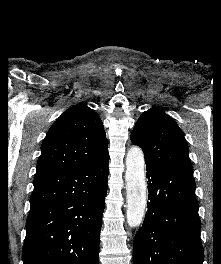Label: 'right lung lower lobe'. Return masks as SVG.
<instances>
[{
    "label": "right lung lower lobe",
    "instance_id": "right-lung-lower-lobe-1",
    "mask_svg": "<svg viewBox=\"0 0 221 264\" xmlns=\"http://www.w3.org/2000/svg\"><path fill=\"white\" fill-rule=\"evenodd\" d=\"M108 161L35 177L23 264H99Z\"/></svg>",
    "mask_w": 221,
    "mask_h": 264
}]
</instances>
